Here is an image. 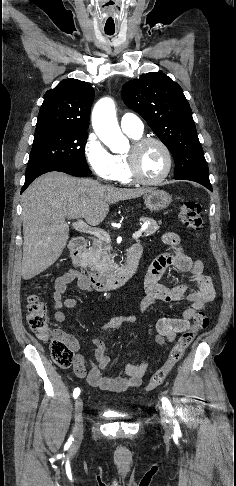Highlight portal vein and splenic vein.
Instances as JSON below:
<instances>
[{"mask_svg": "<svg viewBox=\"0 0 236 486\" xmlns=\"http://www.w3.org/2000/svg\"><path fill=\"white\" fill-rule=\"evenodd\" d=\"M73 227L78 231L94 235V236L98 237L99 239H104V240L110 241V236L106 231L92 227V226L86 224L81 219H78L77 222L73 223ZM145 228H146V226L142 227L140 230L133 233L132 238L138 239L142 235V232L145 230Z\"/></svg>", "mask_w": 236, "mask_h": 486, "instance_id": "obj_1", "label": "portal vein and splenic vein"}]
</instances>
